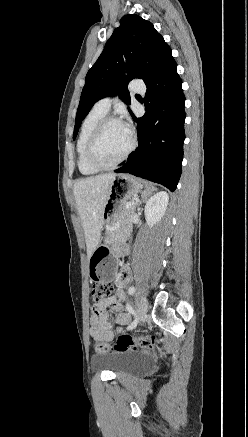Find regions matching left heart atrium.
<instances>
[{
    "label": "left heart atrium",
    "instance_id": "39dd6f15",
    "mask_svg": "<svg viewBox=\"0 0 248 437\" xmlns=\"http://www.w3.org/2000/svg\"><path fill=\"white\" fill-rule=\"evenodd\" d=\"M122 127L124 128V130L131 135V125L128 121H123L121 122Z\"/></svg>",
    "mask_w": 248,
    "mask_h": 437
}]
</instances>
